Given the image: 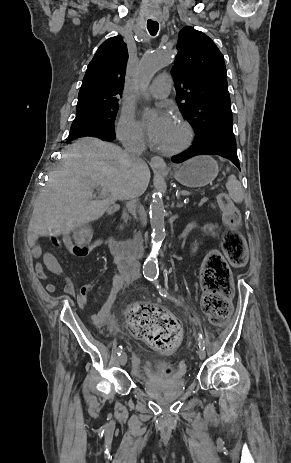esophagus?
Segmentation results:
<instances>
[{"mask_svg":"<svg viewBox=\"0 0 291 463\" xmlns=\"http://www.w3.org/2000/svg\"><path fill=\"white\" fill-rule=\"evenodd\" d=\"M151 164L155 167H161V168H164L166 166L163 158H161L160 156H154L151 158Z\"/></svg>","mask_w":291,"mask_h":463,"instance_id":"1","label":"esophagus"}]
</instances>
